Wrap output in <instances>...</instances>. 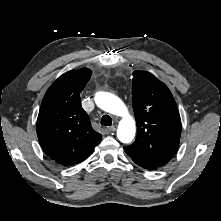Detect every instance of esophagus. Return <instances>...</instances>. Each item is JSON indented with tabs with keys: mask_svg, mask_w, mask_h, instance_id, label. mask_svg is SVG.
<instances>
[{
	"mask_svg": "<svg viewBox=\"0 0 221 221\" xmlns=\"http://www.w3.org/2000/svg\"><path fill=\"white\" fill-rule=\"evenodd\" d=\"M109 131H115L117 129L116 125H112L110 127L107 128Z\"/></svg>",
	"mask_w": 221,
	"mask_h": 221,
	"instance_id": "obj_1",
	"label": "esophagus"
}]
</instances>
